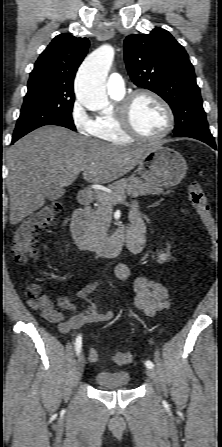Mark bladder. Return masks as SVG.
Wrapping results in <instances>:
<instances>
[{"instance_id": "bladder-1", "label": "bladder", "mask_w": 222, "mask_h": 447, "mask_svg": "<svg viewBox=\"0 0 222 447\" xmlns=\"http://www.w3.org/2000/svg\"><path fill=\"white\" fill-rule=\"evenodd\" d=\"M95 383L102 390L127 389L130 375L127 371H100L95 375Z\"/></svg>"}]
</instances>
